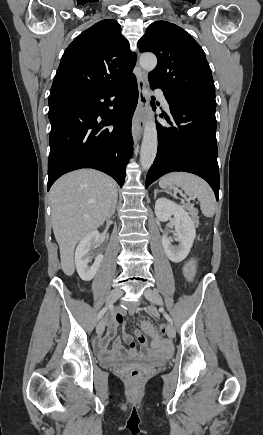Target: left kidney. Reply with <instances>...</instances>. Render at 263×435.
I'll list each match as a JSON object with an SVG mask.
<instances>
[{
    "label": "left kidney",
    "mask_w": 263,
    "mask_h": 435,
    "mask_svg": "<svg viewBox=\"0 0 263 435\" xmlns=\"http://www.w3.org/2000/svg\"><path fill=\"white\" fill-rule=\"evenodd\" d=\"M155 214L160 221H167L174 216L176 240L179 245H173V239L164 234L162 245L167 257L174 263L183 261L189 254L196 237V227L185 209L167 198H159L155 202Z\"/></svg>",
    "instance_id": "5707ae66"
}]
</instances>
